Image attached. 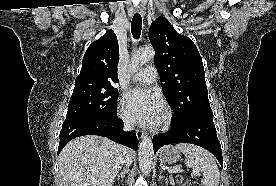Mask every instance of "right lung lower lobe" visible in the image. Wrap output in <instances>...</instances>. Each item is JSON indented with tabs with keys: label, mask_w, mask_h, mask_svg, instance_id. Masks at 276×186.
<instances>
[{
	"label": "right lung lower lobe",
	"mask_w": 276,
	"mask_h": 186,
	"mask_svg": "<svg viewBox=\"0 0 276 186\" xmlns=\"http://www.w3.org/2000/svg\"><path fill=\"white\" fill-rule=\"evenodd\" d=\"M122 124V121L117 118V111L108 117L84 115L68 118L63 122L60 132L58 154L70 140L83 135L107 137L119 144L137 150L138 140L135 131L125 133Z\"/></svg>",
	"instance_id": "98d812e1"
}]
</instances>
